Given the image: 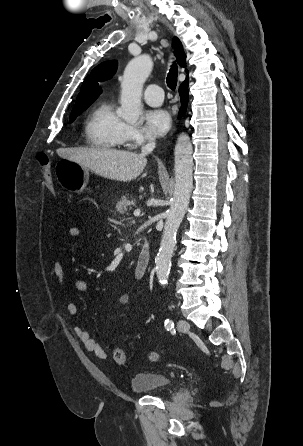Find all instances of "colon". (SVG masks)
<instances>
[{
  "instance_id": "5ec220e1",
  "label": "colon",
  "mask_w": 303,
  "mask_h": 446,
  "mask_svg": "<svg viewBox=\"0 0 303 446\" xmlns=\"http://www.w3.org/2000/svg\"><path fill=\"white\" fill-rule=\"evenodd\" d=\"M37 160H38V162L41 166V169L43 171L46 186H47L48 190L52 194H56L58 191H57L56 183L53 178L51 162H50L49 157L44 153H39L37 155ZM148 357H149L150 361H153V362L157 361L159 358V356L156 352H150ZM113 358H114L115 362L119 365L123 366L127 363V356L122 349H114L113 350Z\"/></svg>"
}]
</instances>
